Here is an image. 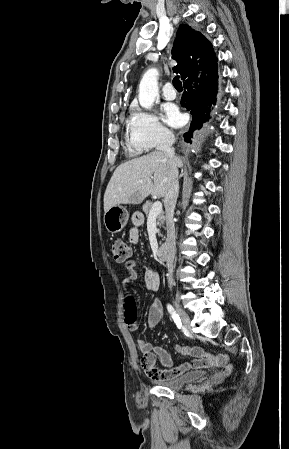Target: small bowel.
<instances>
[{
	"mask_svg": "<svg viewBox=\"0 0 289 449\" xmlns=\"http://www.w3.org/2000/svg\"><path fill=\"white\" fill-rule=\"evenodd\" d=\"M132 222L133 227L130 228L128 232V239L131 243L136 244L139 240V226L142 223V219L140 217H133ZM137 265V260H129L125 264L128 274L122 280V288L126 295H129V287L135 284L138 279V274L136 271ZM144 282L147 290L152 292L157 291L160 286L159 274L152 269H147L144 274ZM162 317V303L159 299H154L148 311V328L153 329L156 327ZM128 324L132 331L138 330V324L134 319L128 321ZM137 345L139 350L142 352L141 365L146 375L152 380L172 379L192 369H205L212 366L221 368V371L219 372V376L221 377L229 374L233 369V366L227 363L229 359L227 354H208L198 346L180 347L176 345L175 350L179 354L192 356L193 359L191 361L181 363L178 366H174L169 353L163 347L152 346L151 343L144 339H138ZM157 359L164 366V368L160 369L155 366Z\"/></svg>",
	"mask_w": 289,
	"mask_h": 449,
	"instance_id": "obj_1",
	"label": "small bowel"
}]
</instances>
